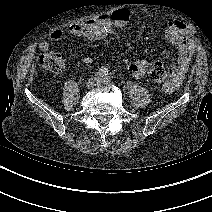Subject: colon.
<instances>
[{"label": "colon", "mask_w": 212, "mask_h": 212, "mask_svg": "<svg viewBox=\"0 0 212 212\" xmlns=\"http://www.w3.org/2000/svg\"><path fill=\"white\" fill-rule=\"evenodd\" d=\"M38 61L41 67L52 72H61L66 68L64 57L55 51L44 52L39 56ZM148 78L156 84L167 83L169 79L167 68L161 63L154 64L149 71Z\"/></svg>", "instance_id": "colon-1"}]
</instances>
